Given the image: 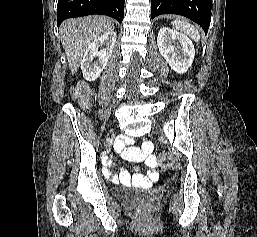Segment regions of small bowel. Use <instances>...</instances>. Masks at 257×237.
<instances>
[{"label": "small bowel", "mask_w": 257, "mask_h": 237, "mask_svg": "<svg viewBox=\"0 0 257 237\" xmlns=\"http://www.w3.org/2000/svg\"><path fill=\"white\" fill-rule=\"evenodd\" d=\"M126 142H132L131 139ZM118 150L121 152L122 156L134 160V161H143L145 160L147 165V172L145 175H135L132 176L126 170H120L119 173H114L113 165L108 163L104 168L105 175L114 182L121 183L123 185L130 184L131 182L146 185L148 182L153 181L157 178V173L155 171L156 159L151 155L152 144L150 142H145L142 145L141 149L138 148H128L123 149L122 143L118 146Z\"/></svg>", "instance_id": "obj_1"}]
</instances>
